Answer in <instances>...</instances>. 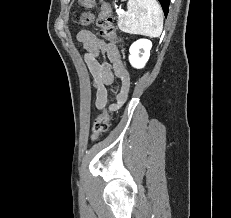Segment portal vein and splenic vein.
Wrapping results in <instances>:
<instances>
[{"label": "portal vein and splenic vein", "mask_w": 231, "mask_h": 218, "mask_svg": "<svg viewBox=\"0 0 231 218\" xmlns=\"http://www.w3.org/2000/svg\"><path fill=\"white\" fill-rule=\"evenodd\" d=\"M123 13H124V11H123V10H120V11H119V14H123Z\"/></svg>", "instance_id": "1"}]
</instances>
